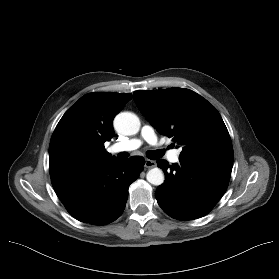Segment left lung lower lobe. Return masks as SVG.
Here are the masks:
<instances>
[{
  "instance_id": "0a47b994",
  "label": "left lung lower lobe",
  "mask_w": 279,
  "mask_h": 279,
  "mask_svg": "<svg viewBox=\"0 0 279 279\" xmlns=\"http://www.w3.org/2000/svg\"><path fill=\"white\" fill-rule=\"evenodd\" d=\"M169 165L158 160L165 172V182L155 197L169 216L178 220H193L206 215L228 187L233 162L179 158Z\"/></svg>"
}]
</instances>
